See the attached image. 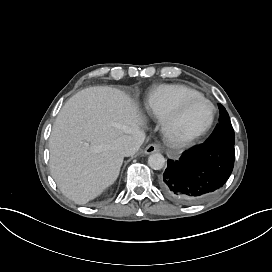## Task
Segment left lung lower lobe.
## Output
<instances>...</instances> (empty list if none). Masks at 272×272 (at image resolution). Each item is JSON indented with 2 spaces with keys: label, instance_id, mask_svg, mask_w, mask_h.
<instances>
[{
  "label": "left lung lower lobe",
  "instance_id": "1",
  "mask_svg": "<svg viewBox=\"0 0 272 272\" xmlns=\"http://www.w3.org/2000/svg\"><path fill=\"white\" fill-rule=\"evenodd\" d=\"M234 159V147L203 144L191 148L183 153L180 160L168 161L160 187L178 204H196L225 184L233 170Z\"/></svg>",
  "mask_w": 272,
  "mask_h": 272
}]
</instances>
